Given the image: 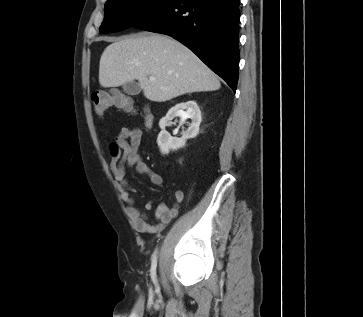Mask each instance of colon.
<instances>
[{"instance_id":"5ec220e1","label":"colon","mask_w":363,"mask_h":317,"mask_svg":"<svg viewBox=\"0 0 363 317\" xmlns=\"http://www.w3.org/2000/svg\"><path fill=\"white\" fill-rule=\"evenodd\" d=\"M91 105L93 110L102 116L110 107H117L124 111H132L133 103L130 98L118 92L95 91L91 95ZM110 150L114 157L120 153V145L117 141L110 144Z\"/></svg>"}]
</instances>
